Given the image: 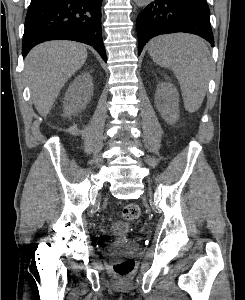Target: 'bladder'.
Instances as JSON below:
<instances>
[{
    "instance_id": "1",
    "label": "bladder",
    "mask_w": 245,
    "mask_h": 300,
    "mask_svg": "<svg viewBox=\"0 0 245 300\" xmlns=\"http://www.w3.org/2000/svg\"><path fill=\"white\" fill-rule=\"evenodd\" d=\"M132 230L131 226L124 222H115L107 230V235L111 237H121Z\"/></svg>"
}]
</instances>
